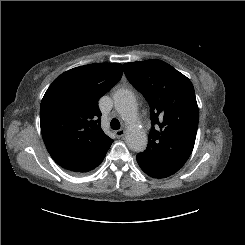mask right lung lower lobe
Here are the masks:
<instances>
[{
    "mask_svg": "<svg viewBox=\"0 0 245 245\" xmlns=\"http://www.w3.org/2000/svg\"><path fill=\"white\" fill-rule=\"evenodd\" d=\"M109 147L104 149L89 165H87L86 167L82 168L81 170H79L76 173L88 172V171L94 169L95 167H97L103 161V159H104Z\"/></svg>",
    "mask_w": 245,
    "mask_h": 245,
    "instance_id": "98d812e1",
    "label": "right lung lower lobe"
}]
</instances>
